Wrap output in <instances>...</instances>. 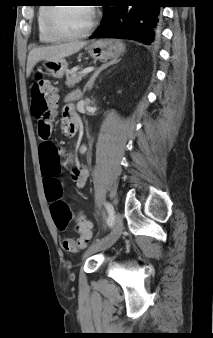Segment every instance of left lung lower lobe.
<instances>
[{
	"label": "left lung lower lobe",
	"instance_id": "1",
	"mask_svg": "<svg viewBox=\"0 0 213 338\" xmlns=\"http://www.w3.org/2000/svg\"><path fill=\"white\" fill-rule=\"evenodd\" d=\"M160 0H106L102 23L90 38H121L151 44L161 31Z\"/></svg>",
	"mask_w": 213,
	"mask_h": 338
}]
</instances>
